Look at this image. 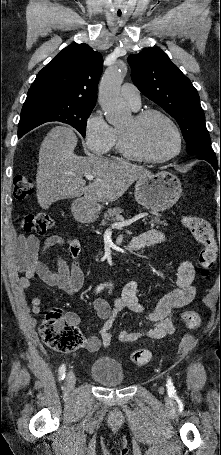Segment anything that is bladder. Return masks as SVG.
Listing matches in <instances>:
<instances>
[{
    "label": "bladder",
    "mask_w": 221,
    "mask_h": 455,
    "mask_svg": "<svg viewBox=\"0 0 221 455\" xmlns=\"http://www.w3.org/2000/svg\"><path fill=\"white\" fill-rule=\"evenodd\" d=\"M90 374L98 382L108 386H120L125 381L122 366L119 363L103 359L93 362Z\"/></svg>",
    "instance_id": "1"
}]
</instances>
